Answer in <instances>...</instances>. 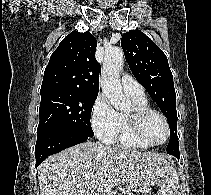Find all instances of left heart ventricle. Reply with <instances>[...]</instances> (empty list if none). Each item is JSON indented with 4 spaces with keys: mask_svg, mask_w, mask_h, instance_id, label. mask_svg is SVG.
Wrapping results in <instances>:
<instances>
[{
    "mask_svg": "<svg viewBox=\"0 0 211 195\" xmlns=\"http://www.w3.org/2000/svg\"><path fill=\"white\" fill-rule=\"evenodd\" d=\"M143 132L145 137L153 143L162 142L167 134L163 120L156 116H150L144 123Z\"/></svg>",
    "mask_w": 211,
    "mask_h": 195,
    "instance_id": "obj_1",
    "label": "left heart ventricle"
}]
</instances>
